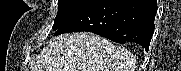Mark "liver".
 <instances>
[{"instance_id": "1", "label": "liver", "mask_w": 181, "mask_h": 71, "mask_svg": "<svg viewBox=\"0 0 181 71\" xmlns=\"http://www.w3.org/2000/svg\"><path fill=\"white\" fill-rule=\"evenodd\" d=\"M131 52L91 33L64 34L41 50L35 71H134Z\"/></svg>"}]
</instances>
